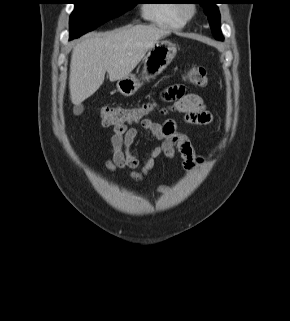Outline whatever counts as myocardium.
Wrapping results in <instances>:
<instances>
[{
    "label": "myocardium",
    "mask_w": 290,
    "mask_h": 321,
    "mask_svg": "<svg viewBox=\"0 0 290 321\" xmlns=\"http://www.w3.org/2000/svg\"><path fill=\"white\" fill-rule=\"evenodd\" d=\"M197 12V7L193 3H183L179 5V14L185 21L191 20Z\"/></svg>",
    "instance_id": "f54148a6"
}]
</instances>
